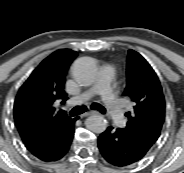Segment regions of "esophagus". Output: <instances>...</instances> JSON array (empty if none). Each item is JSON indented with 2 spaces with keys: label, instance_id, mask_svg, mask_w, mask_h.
Segmentation results:
<instances>
[{
  "label": "esophagus",
  "instance_id": "34e87169",
  "mask_svg": "<svg viewBox=\"0 0 184 173\" xmlns=\"http://www.w3.org/2000/svg\"><path fill=\"white\" fill-rule=\"evenodd\" d=\"M95 112L94 111H88V112H85V113H83V114H81V117L83 118V117H87V116H90V115H92V114H94Z\"/></svg>",
  "mask_w": 184,
  "mask_h": 173
}]
</instances>
